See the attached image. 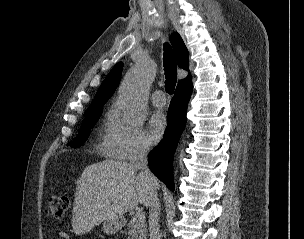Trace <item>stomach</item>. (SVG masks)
I'll use <instances>...</instances> for the list:
<instances>
[{"label":"stomach","instance_id":"obj_1","mask_svg":"<svg viewBox=\"0 0 304 239\" xmlns=\"http://www.w3.org/2000/svg\"><path fill=\"white\" fill-rule=\"evenodd\" d=\"M121 226H122V220L120 218L107 219L103 223V231L108 235H112L118 232Z\"/></svg>","mask_w":304,"mask_h":239}]
</instances>
